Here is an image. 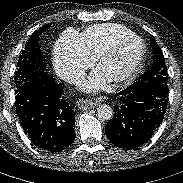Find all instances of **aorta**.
<instances>
[{
    "label": "aorta",
    "instance_id": "obj_1",
    "mask_svg": "<svg viewBox=\"0 0 183 183\" xmlns=\"http://www.w3.org/2000/svg\"><path fill=\"white\" fill-rule=\"evenodd\" d=\"M97 114H98V117L102 120H110L112 119L114 112L109 105L102 104L98 107Z\"/></svg>",
    "mask_w": 183,
    "mask_h": 183
}]
</instances>
